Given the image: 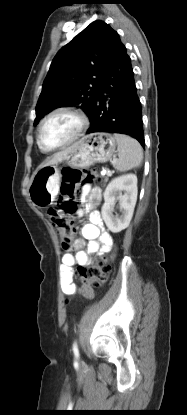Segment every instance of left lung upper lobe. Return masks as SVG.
Masks as SVG:
<instances>
[{
    "instance_id": "left-lung-upper-lobe-1",
    "label": "left lung upper lobe",
    "mask_w": 187,
    "mask_h": 415,
    "mask_svg": "<svg viewBox=\"0 0 187 415\" xmlns=\"http://www.w3.org/2000/svg\"><path fill=\"white\" fill-rule=\"evenodd\" d=\"M118 33L94 21L54 57L36 105L34 125L51 110L78 105L92 117L96 91Z\"/></svg>"
}]
</instances>
